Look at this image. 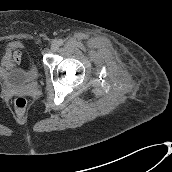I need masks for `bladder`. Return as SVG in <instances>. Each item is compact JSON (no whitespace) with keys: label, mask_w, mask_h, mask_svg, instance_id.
<instances>
[{"label":"bladder","mask_w":172,"mask_h":172,"mask_svg":"<svg viewBox=\"0 0 172 172\" xmlns=\"http://www.w3.org/2000/svg\"><path fill=\"white\" fill-rule=\"evenodd\" d=\"M25 73L14 67L11 71L5 72L0 78V84L2 85V90L9 91L25 82Z\"/></svg>","instance_id":"31cf9c89"}]
</instances>
